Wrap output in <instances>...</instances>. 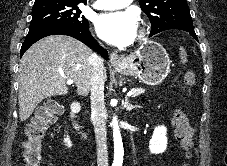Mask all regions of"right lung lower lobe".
<instances>
[{
    "label": "right lung lower lobe",
    "instance_id": "1",
    "mask_svg": "<svg viewBox=\"0 0 227 166\" xmlns=\"http://www.w3.org/2000/svg\"><path fill=\"white\" fill-rule=\"evenodd\" d=\"M58 34L74 37L79 41L83 42L84 44H86L87 46H90L96 49L97 52L100 53L105 59L108 58L107 51L103 49L101 46L97 45L94 38L91 36L88 28H73V27H63V26L47 27L37 32L28 33L21 47V51H20L21 56L32 44H34L38 40L46 36L58 35Z\"/></svg>",
    "mask_w": 227,
    "mask_h": 166
}]
</instances>
